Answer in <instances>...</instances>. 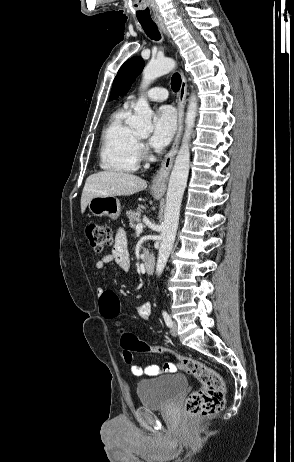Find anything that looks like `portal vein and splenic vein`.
Returning <instances> with one entry per match:
<instances>
[{
  "instance_id": "1",
  "label": "portal vein and splenic vein",
  "mask_w": 294,
  "mask_h": 462,
  "mask_svg": "<svg viewBox=\"0 0 294 462\" xmlns=\"http://www.w3.org/2000/svg\"><path fill=\"white\" fill-rule=\"evenodd\" d=\"M135 229H136V233L140 234L143 231V225L142 224H137Z\"/></svg>"
}]
</instances>
